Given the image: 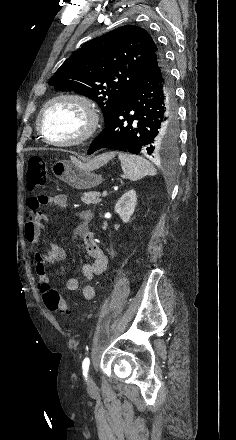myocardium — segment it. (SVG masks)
Returning a JSON list of instances; mask_svg holds the SVG:
<instances>
[{"instance_id":"1","label":"myocardium","mask_w":236,"mask_h":440,"mask_svg":"<svg viewBox=\"0 0 236 440\" xmlns=\"http://www.w3.org/2000/svg\"><path fill=\"white\" fill-rule=\"evenodd\" d=\"M57 102H69L76 105L83 113L85 126L79 136L74 139L58 141L46 136L43 118L50 106ZM100 124V112L96 103L89 97L75 92L58 93L50 98L41 108L37 117V126L42 139L51 145L59 147H73L89 141L96 133Z\"/></svg>"}]
</instances>
